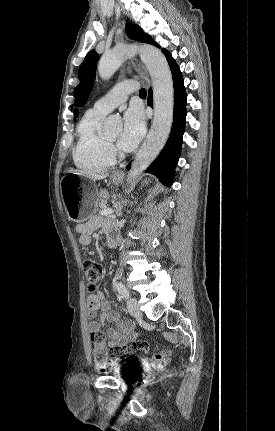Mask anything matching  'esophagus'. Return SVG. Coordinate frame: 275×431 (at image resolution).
Segmentation results:
<instances>
[{
    "label": "esophagus",
    "instance_id": "obj_1",
    "mask_svg": "<svg viewBox=\"0 0 275 431\" xmlns=\"http://www.w3.org/2000/svg\"><path fill=\"white\" fill-rule=\"evenodd\" d=\"M131 63H132L133 68L135 69V71L138 73V75H139L142 79H144V80H145V83H146L147 88H150V86H151V82H150V79H149V77H148L147 70H146V68L144 67V65L142 64V62H141V61H139V59H138V58H136V57H132V58H131ZM116 175H118V176H119V175H121V173L117 172V173H116Z\"/></svg>",
    "mask_w": 275,
    "mask_h": 431
}]
</instances>
